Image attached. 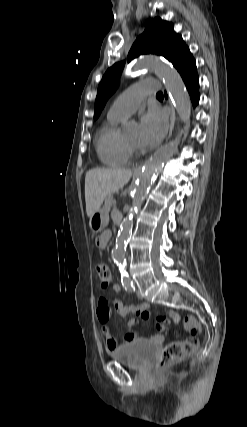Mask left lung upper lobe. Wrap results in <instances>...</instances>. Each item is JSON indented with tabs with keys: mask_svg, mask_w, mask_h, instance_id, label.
I'll list each match as a JSON object with an SVG mask.
<instances>
[{
	"mask_svg": "<svg viewBox=\"0 0 247 427\" xmlns=\"http://www.w3.org/2000/svg\"><path fill=\"white\" fill-rule=\"evenodd\" d=\"M143 54H156L169 60L176 69L186 60L193 57L182 37L174 32L172 23L155 18L148 21L143 34L134 42L127 61ZM125 62L115 63L104 74L97 91L94 119H96L107 99L116 89Z\"/></svg>",
	"mask_w": 247,
	"mask_h": 427,
	"instance_id": "5c2ea615",
	"label": "left lung upper lobe"
}]
</instances>
